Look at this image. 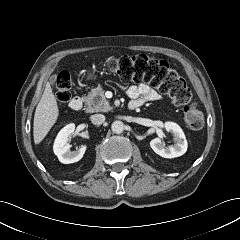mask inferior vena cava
Instances as JSON below:
<instances>
[{"mask_svg":"<svg viewBox=\"0 0 240 240\" xmlns=\"http://www.w3.org/2000/svg\"><path fill=\"white\" fill-rule=\"evenodd\" d=\"M105 121V116L103 114H94L91 116V122L94 125H101Z\"/></svg>","mask_w":240,"mask_h":240,"instance_id":"inferior-vena-cava-1","label":"inferior vena cava"}]
</instances>
